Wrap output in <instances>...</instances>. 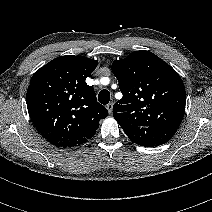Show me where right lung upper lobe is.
Instances as JSON below:
<instances>
[{
    "mask_svg": "<svg viewBox=\"0 0 212 212\" xmlns=\"http://www.w3.org/2000/svg\"><path fill=\"white\" fill-rule=\"evenodd\" d=\"M97 64L84 56L65 55L41 67L31 78L29 115L40 134L56 147L86 143L108 115L85 82Z\"/></svg>",
    "mask_w": 212,
    "mask_h": 212,
    "instance_id": "obj_1",
    "label": "right lung upper lobe"
}]
</instances>
